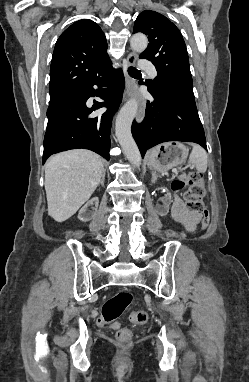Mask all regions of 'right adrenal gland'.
Listing matches in <instances>:
<instances>
[{
  "label": "right adrenal gland",
  "instance_id": "1",
  "mask_svg": "<svg viewBox=\"0 0 249 382\" xmlns=\"http://www.w3.org/2000/svg\"><path fill=\"white\" fill-rule=\"evenodd\" d=\"M104 180H105V170H104V173H103L102 178H101V180H100V184H101L102 186H104Z\"/></svg>",
  "mask_w": 249,
  "mask_h": 382
}]
</instances>
